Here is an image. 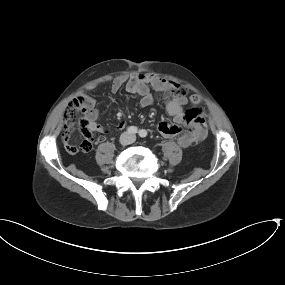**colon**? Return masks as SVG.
Wrapping results in <instances>:
<instances>
[{
	"mask_svg": "<svg viewBox=\"0 0 285 285\" xmlns=\"http://www.w3.org/2000/svg\"><path fill=\"white\" fill-rule=\"evenodd\" d=\"M159 90L163 96H183L187 90L174 82L158 83ZM192 106L197 109L199 99L195 96L191 97ZM91 109V101L88 96L82 95L73 99L66 110V120H76L80 131L87 137H90V123L85 115Z\"/></svg>",
	"mask_w": 285,
	"mask_h": 285,
	"instance_id": "1",
	"label": "colon"
}]
</instances>
